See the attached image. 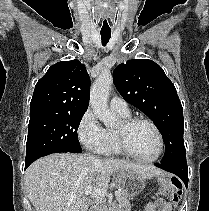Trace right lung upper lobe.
Listing matches in <instances>:
<instances>
[{
	"mask_svg": "<svg viewBox=\"0 0 209 211\" xmlns=\"http://www.w3.org/2000/svg\"><path fill=\"white\" fill-rule=\"evenodd\" d=\"M90 77L78 60L52 65L37 82L30 115L85 113L89 104Z\"/></svg>",
	"mask_w": 209,
	"mask_h": 211,
	"instance_id": "cb5924a9",
	"label": "right lung upper lobe"
}]
</instances>
